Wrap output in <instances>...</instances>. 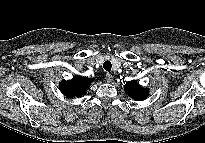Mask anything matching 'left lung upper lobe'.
<instances>
[{
  "instance_id": "left-lung-upper-lobe-1",
  "label": "left lung upper lobe",
  "mask_w": 205,
  "mask_h": 143,
  "mask_svg": "<svg viewBox=\"0 0 205 143\" xmlns=\"http://www.w3.org/2000/svg\"><path fill=\"white\" fill-rule=\"evenodd\" d=\"M125 92L137 101L145 100L148 97V89L141 88L136 81H129L124 86Z\"/></svg>"
}]
</instances>
